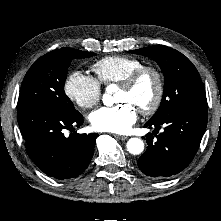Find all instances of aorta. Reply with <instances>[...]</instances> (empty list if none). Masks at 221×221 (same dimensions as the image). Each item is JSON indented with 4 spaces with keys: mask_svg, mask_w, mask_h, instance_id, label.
Segmentation results:
<instances>
[{
    "mask_svg": "<svg viewBox=\"0 0 221 221\" xmlns=\"http://www.w3.org/2000/svg\"><path fill=\"white\" fill-rule=\"evenodd\" d=\"M115 91L114 85H109L106 88V93L103 95V103L106 106H111L114 103L112 93ZM127 150L133 155H138L142 153L144 149V143L140 138H130L126 144Z\"/></svg>",
    "mask_w": 221,
    "mask_h": 221,
    "instance_id": "762f6f07",
    "label": "aorta"
}]
</instances>
